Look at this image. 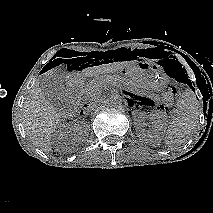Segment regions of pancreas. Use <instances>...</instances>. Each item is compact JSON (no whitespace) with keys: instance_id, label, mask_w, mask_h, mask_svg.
Masks as SVG:
<instances>
[{"instance_id":"1","label":"pancreas","mask_w":213,"mask_h":213,"mask_svg":"<svg viewBox=\"0 0 213 213\" xmlns=\"http://www.w3.org/2000/svg\"><path fill=\"white\" fill-rule=\"evenodd\" d=\"M85 99H89L90 97H92L94 95V91L92 89H87L85 91Z\"/></svg>"}]
</instances>
